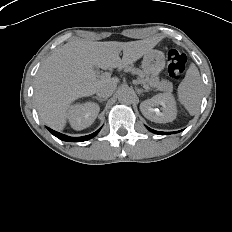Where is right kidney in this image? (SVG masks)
Instances as JSON below:
<instances>
[{
  "label": "right kidney",
  "mask_w": 232,
  "mask_h": 232,
  "mask_svg": "<svg viewBox=\"0 0 232 232\" xmlns=\"http://www.w3.org/2000/svg\"><path fill=\"white\" fill-rule=\"evenodd\" d=\"M99 110V106L93 102L74 104L67 110L68 120L75 130H82L94 122Z\"/></svg>",
  "instance_id": "1"
}]
</instances>
